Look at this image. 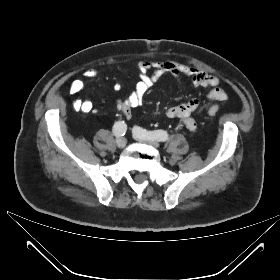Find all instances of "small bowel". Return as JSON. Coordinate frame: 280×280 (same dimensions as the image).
<instances>
[{"label": "small bowel", "mask_w": 280, "mask_h": 280, "mask_svg": "<svg viewBox=\"0 0 280 280\" xmlns=\"http://www.w3.org/2000/svg\"><path fill=\"white\" fill-rule=\"evenodd\" d=\"M139 80L133 91L125 100L117 102V109L126 119L132 115V110L140 106L149 88L159 80L163 75L170 74L176 78L180 90L185 88L182 77L191 79L194 88H210L205 96L208 102L224 101L227 99V93L220 87L221 80L211 74L206 73L201 68L189 66L175 60H155L142 59L138 63ZM86 79H94L98 72L93 68H87L84 73ZM85 82L82 79H75L71 82L69 91L71 94H79L83 91ZM119 89L118 85L114 86ZM200 98L194 97L188 101L171 107L167 110V116L179 120L188 130L194 131L197 128L196 120L193 115L203 111L206 107H213L211 103L205 106L201 105ZM72 107L76 111L91 113L94 110L93 103L88 99L78 98L72 102Z\"/></svg>", "instance_id": "1"}]
</instances>
